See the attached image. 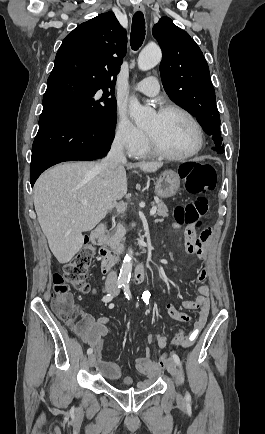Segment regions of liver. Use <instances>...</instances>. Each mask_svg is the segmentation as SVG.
Segmentation results:
<instances>
[{
  "instance_id": "obj_1",
  "label": "liver",
  "mask_w": 265,
  "mask_h": 434,
  "mask_svg": "<svg viewBox=\"0 0 265 434\" xmlns=\"http://www.w3.org/2000/svg\"><path fill=\"white\" fill-rule=\"evenodd\" d=\"M96 162L60 164L38 178L33 192L37 220L59 264L81 250L82 232L93 230L127 194L124 166L101 174ZM128 170L133 164H127ZM143 172H157L163 162H138ZM81 200H87L82 206Z\"/></svg>"
}]
</instances>
